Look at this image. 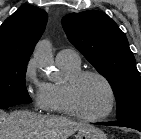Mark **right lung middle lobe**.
Segmentation results:
<instances>
[{
    "label": "right lung middle lobe",
    "mask_w": 141,
    "mask_h": 139,
    "mask_svg": "<svg viewBox=\"0 0 141 139\" xmlns=\"http://www.w3.org/2000/svg\"><path fill=\"white\" fill-rule=\"evenodd\" d=\"M27 63L0 64V108L31 103L25 85Z\"/></svg>",
    "instance_id": "obj_1"
}]
</instances>
